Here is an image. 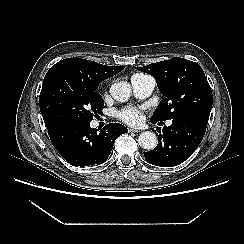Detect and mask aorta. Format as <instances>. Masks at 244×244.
Wrapping results in <instances>:
<instances>
[{
    "instance_id": "aorta-1",
    "label": "aorta",
    "mask_w": 244,
    "mask_h": 244,
    "mask_svg": "<svg viewBox=\"0 0 244 244\" xmlns=\"http://www.w3.org/2000/svg\"><path fill=\"white\" fill-rule=\"evenodd\" d=\"M111 96L118 102H126L131 95V87L127 82H118L110 87ZM157 136L152 131L142 132L138 137L139 145L146 149L152 150L157 146Z\"/></svg>"
}]
</instances>
